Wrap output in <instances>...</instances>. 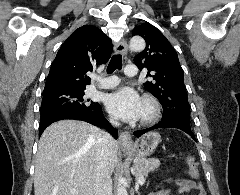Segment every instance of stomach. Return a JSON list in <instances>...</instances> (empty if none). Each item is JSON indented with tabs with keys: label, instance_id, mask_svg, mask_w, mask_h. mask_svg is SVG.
<instances>
[{
	"label": "stomach",
	"instance_id": "1",
	"mask_svg": "<svg viewBox=\"0 0 240 195\" xmlns=\"http://www.w3.org/2000/svg\"><path fill=\"white\" fill-rule=\"evenodd\" d=\"M161 141V135L158 131H148V133H144L141 135L139 139L134 141V145H130V147H124L127 153H133L135 157H139V159H149L147 155H151L154 149H156L158 143Z\"/></svg>",
	"mask_w": 240,
	"mask_h": 195
}]
</instances>
